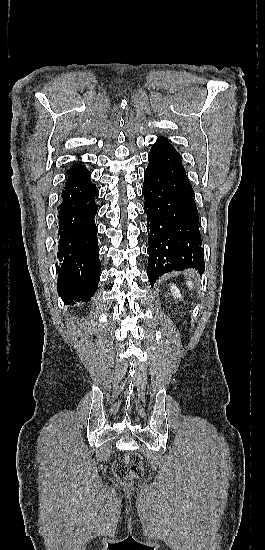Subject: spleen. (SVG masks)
<instances>
[{
  "mask_svg": "<svg viewBox=\"0 0 265 550\" xmlns=\"http://www.w3.org/2000/svg\"><path fill=\"white\" fill-rule=\"evenodd\" d=\"M187 285H188V287L192 288V286H193L192 281H187Z\"/></svg>",
  "mask_w": 265,
  "mask_h": 550,
  "instance_id": "3e777b00",
  "label": "spleen"
}]
</instances>
